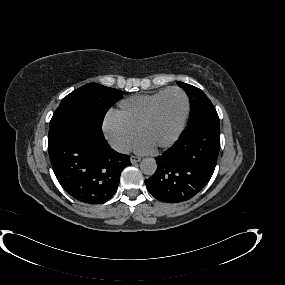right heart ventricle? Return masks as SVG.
<instances>
[{
  "mask_svg": "<svg viewBox=\"0 0 285 285\" xmlns=\"http://www.w3.org/2000/svg\"><path fill=\"white\" fill-rule=\"evenodd\" d=\"M166 89L151 94L130 96L118 104L116 118L133 132H137L140 124L148 115L152 105Z\"/></svg>",
  "mask_w": 285,
  "mask_h": 285,
  "instance_id": "e07e8e85",
  "label": "right heart ventricle"
}]
</instances>
